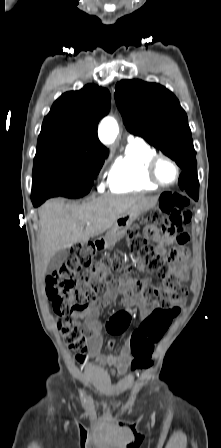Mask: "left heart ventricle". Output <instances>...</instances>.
I'll return each mask as SVG.
<instances>
[{
  "instance_id": "left-heart-ventricle-1",
  "label": "left heart ventricle",
  "mask_w": 221,
  "mask_h": 448,
  "mask_svg": "<svg viewBox=\"0 0 221 448\" xmlns=\"http://www.w3.org/2000/svg\"><path fill=\"white\" fill-rule=\"evenodd\" d=\"M157 175L161 181L170 183L175 179L176 170L167 160H161L157 166Z\"/></svg>"
}]
</instances>
